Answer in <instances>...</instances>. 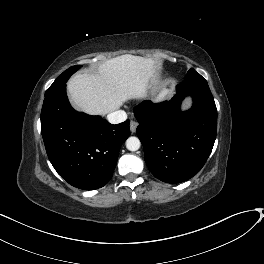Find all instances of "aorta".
<instances>
[{
    "label": "aorta",
    "mask_w": 264,
    "mask_h": 264,
    "mask_svg": "<svg viewBox=\"0 0 264 264\" xmlns=\"http://www.w3.org/2000/svg\"><path fill=\"white\" fill-rule=\"evenodd\" d=\"M141 146L140 140L137 137L131 136L126 140V148L129 151H137Z\"/></svg>",
    "instance_id": "762f6f07"
}]
</instances>
